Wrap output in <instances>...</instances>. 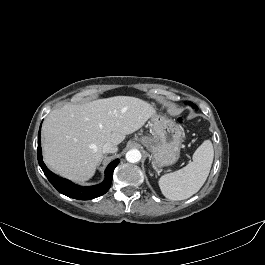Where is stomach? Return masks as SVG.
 <instances>
[{
  "label": "stomach",
  "mask_w": 265,
  "mask_h": 265,
  "mask_svg": "<svg viewBox=\"0 0 265 265\" xmlns=\"http://www.w3.org/2000/svg\"><path fill=\"white\" fill-rule=\"evenodd\" d=\"M153 136H144L141 143L150 151L152 164L162 168L176 163L180 157L183 128L164 116H154L150 123Z\"/></svg>",
  "instance_id": "1"
}]
</instances>
